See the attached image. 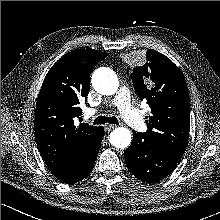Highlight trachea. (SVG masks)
<instances>
[{"mask_svg":"<svg viewBox=\"0 0 220 220\" xmlns=\"http://www.w3.org/2000/svg\"><path fill=\"white\" fill-rule=\"evenodd\" d=\"M105 123L116 124L117 125L118 124V119L115 116H112V117L98 116L94 120V124H96V125L105 124Z\"/></svg>","mask_w":220,"mask_h":220,"instance_id":"obj_1","label":"trachea"}]
</instances>
